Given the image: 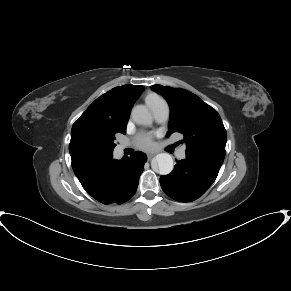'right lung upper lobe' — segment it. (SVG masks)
I'll use <instances>...</instances> for the list:
<instances>
[{
    "instance_id": "obj_1",
    "label": "right lung upper lobe",
    "mask_w": 291,
    "mask_h": 291,
    "mask_svg": "<svg viewBox=\"0 0 291 291\" xmlns=\"http://www.w3.org/2000/svg\"><path fill=\"white\" fill-rule=\"evenodd\" d=\"M143 90L141 85H124L96 99L72 126L69 144L71 159L106 155L104 152H88L86 140L106 139L119 132L125 134L131 109Z\"/></svg>"
}]
</instances>
